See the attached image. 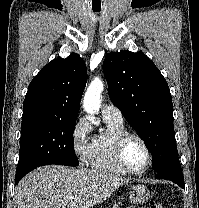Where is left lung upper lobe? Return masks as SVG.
Listing matches in <instances>:
<instances>
[{
    "instance_id": "1",
    "label": "left lung upper lobe",
    "mask_w": 199,
    "mask_h": 208,
    "mask_svg": "<svg viewBox=\"0 0 199 208\" xmlns=\"http://www.w3.org/2000/svg\"><path fill=\"white\" fill-rule=\"evenodd\" d=\"M112 103L123 113L152 155L159 170L178 157L173 104L168 84L142 52L109 53L103 63Z\"/></svg>"
}]
</instances>
